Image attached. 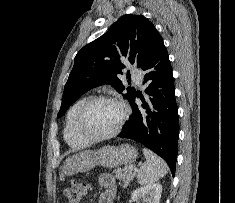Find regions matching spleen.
<instances>
[{
	"label": "spleen",
	"instance_id": "3e777b00",
	"mask_svg": "<svg viewBox=\"0 0 235 203\" xmlns=\"http://www.w3.org/2000/svg\"><path fill=\"white\" fill-rule=\"evenodd\" d=\"M146 161L140 167L137 178L140 185H149L164 177L169 168L164 160L147 148L143 149Z\"/></svg>",
	"mask_w": 235,
	"mask_h": 203
}]
</instances>
